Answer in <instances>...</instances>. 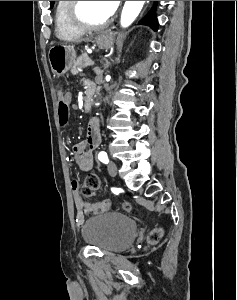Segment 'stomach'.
<instances>
[{"instance_id":"0dacf381","label":"stomach","mask_w":237,"mask_h":300,"mask_svg":"<svg viewBox=\"0 0 237 300\" xmlns=\"http://www.w3.org/2000/svg\"><path fill=\"white\" fill-rule=\"evenodd\" d=\"M89 39H94L99 49H111L114 45V33L110 31H102V33H93ZM76 51L71 45H55L51 47L48 53L50 67L58 77L65 75L71 69L76 59Z\"/></svg>"}]
</instances>
